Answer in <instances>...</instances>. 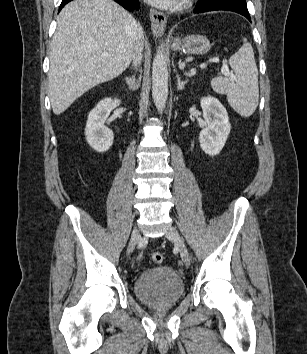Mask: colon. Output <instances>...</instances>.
Segmentation results:
<instances>
[{
	"label": "colon",
	"mask_w": 307,
	"mask_h": 354,
	"mask_svg": "<svg viewBox=\"0 0 307 354\" xmlns=\"http://www.w3.org/2000/svg\"><path fill=\"white\" fill-rule=\"evenodd\" d=\"M163 259H164V257L160 252H155L152 254V260L156 264L162 263Z\"/></svg>",
	"instance_id": "5ec220e1"
}]
</instances>
